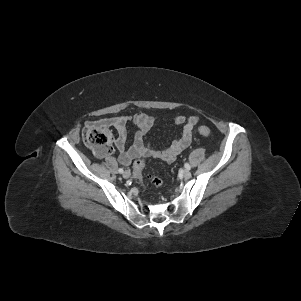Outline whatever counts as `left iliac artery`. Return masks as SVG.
I'll return each instance as SVG.
<instances>
[{
	"label": "left iliac artery",
	"mask_w": 301,
	"mask_h": 301,
	"mask_svg": "<svg viewBox=\"0 0 301 301\" xmlns=\"http://www.w3.org/2000/svg\"><path fill=\"white\" fill-rule=\"evenodd\" d=\"M185 168H186L187 170H190V169H191V166H190L188 163H185Z\"/></svg>",
	"instance_id": "obj_1"
}]
</instances>
